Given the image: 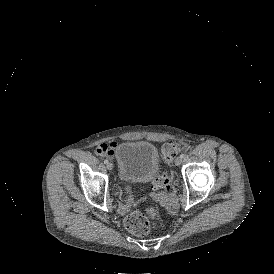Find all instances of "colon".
I'll list each match as a JSON object with an SVG mask.
<instances>
[{
    "label": "colon",
    "mask_w": 274,
    "mask_h": 274,
    "mask_svg": "<svg viewBox=\"0 0 274 274\" xmlns=\"http://www.w3.org/2000/svg\"><path fill=\"white\" fill-rule=\"evenodd\" d=\"M190 147V140L187 137H180L177 141L170 140L162 145V152L158 158V163L162 167H167L171 163V158H175L180 150H187ZM105 152V151H100ZM152 186L158 189L172 190L171 178L167 174L158 175L152 182ZM129 190H144L142 184H135L128 187ZM158 219V209L156 206L147 204L142 210L132 212L124 219L126 231L136 237L148 234L154 227Z\"/></svg>",
    "instance_id": "1"
}]
</instances>
